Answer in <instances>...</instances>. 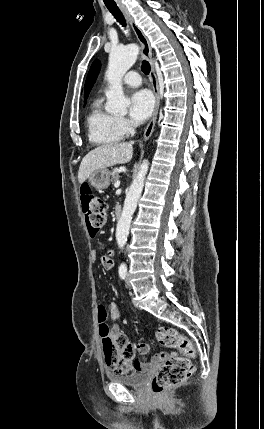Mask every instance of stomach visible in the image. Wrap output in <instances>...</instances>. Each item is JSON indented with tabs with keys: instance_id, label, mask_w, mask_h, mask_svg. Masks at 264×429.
I'll use <instances>...</instances> for the list:
<instances>
[{
	"instance_id": "stomach-1",
	"label": "stomach",
	"mask_w": 264,
	"mask_h": 429,
	"mask_svg": "<svg viewBox=\"0 0 264 429\" xmlns=\"http://www.w3.org/2000/svg\"><path fill=\"white\" fill-rule=\"evenodd\" d=\"M88 182L97 190L105 189L110 184V172L107 168L94 171L88 178Z\"/></svg>"
}]
</instances>
